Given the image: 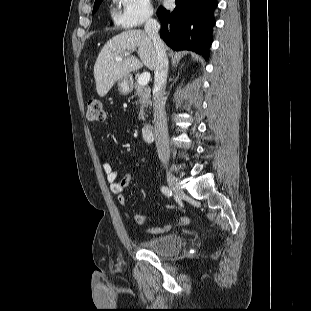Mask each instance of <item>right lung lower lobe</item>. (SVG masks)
<instances>
[{
	"mask_svg": "<svg viewBox=\"0 0 311 311\" xmlns=\"http://www.w3.org/2000/svg\"><path fill=\"white\" fill-rule=\"evenodd\" d=\"M173 11L160 7L161 38L174 50H192L208 56L215 25L217 0H175Z\"/></svg>",
	"mask_w": 311,
	"mask_h": 311,
	"instance_id": "1",
	"label": "right lung lower lobe"
}]
</instances>
